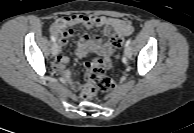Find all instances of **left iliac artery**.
Listing matches in <instances>:
<instances>
[{
    "label": "left iliac artery",
    "mask_w": 194,
    "mask_h": 133,
    "mask_svg": "<svg viewBox=\"0 0 194 133\" xmlns=\"http://www.w3.org/2000/svg\"><path fill=\"white\" fill-rule=\"evenodd\" d=\"M130 43H131V39H128V40L126 41L125 47H128V46L130 45Z\"/></svg>",
    "instance_id": "44dca946"
}]
</instances>
